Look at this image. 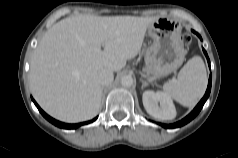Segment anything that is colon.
<instances>
[{
    "mask_svg": "<svg viewBox=\"0 0 238 158\" xmlns=\"http://www.w3.org/2000/svg\"><path fill=\"white\" fill-rule=\"evenodd\" d=\"M182 42L186 45H188L191 42V38L189 35L187 34H183L182 35Z\"/></svg>",
    "mask_w": 238,
    "mask_h": 158,
    "instance_id": "5ec220e1",
    "label": "colon"
}]
</instances>
